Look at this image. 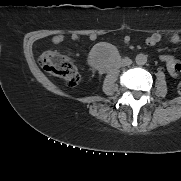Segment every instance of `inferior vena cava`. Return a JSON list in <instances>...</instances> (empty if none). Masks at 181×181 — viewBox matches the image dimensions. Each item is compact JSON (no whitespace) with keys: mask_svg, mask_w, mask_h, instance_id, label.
<instances>
[{"mask_svg":"<svg viewBox=\"0 0 181 181\" xmlns=\"http://www.w3.org/2000/svg\"><path fill=\"white\" fill-rule=\"evenodd\" d=\"M131 64H132V60L129 59V58H124V59H122V61H121V65H122V66H128V65H131Z\"/></svg>","mask_w":181,"mask_h":181,"instance_id":"obj_1","label":"inferior vena cava"}]
</instances>
